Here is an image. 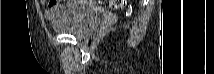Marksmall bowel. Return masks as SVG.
I'll use <instances>...</instances> for the list:
<instances>
[{
  "instance_id": "obj_1",
  "label": "small bowel",
  "mask_w": 214,
  "mask_h": 74,
  "mask_svg": "<svg viewBox=\"0 0 214 74\" xmlns=\"http://www.w3.org/2000/svg\"><path fill=\"white\" fill-rule=\"evenodd\" d=\"M87 4H92L91 1L85 2ZM73 5H63L62 3L59 2H55V3H49L46 10H45V16L49 19L54 18L55 16H57L63 9L67 8V7H71Z\"/></svg>"
}]
</instances>
